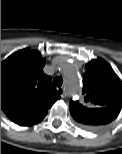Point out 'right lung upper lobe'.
Segmentation results:
<instances>
[{"mask_svg":"<svg viewBox=\"0 0 122 154\" xmlns=\"http://www.w3.org/2000/svg\"><path fill=\"white\" fill-rule=\"evenodd\" d=\"M45 59L37 50H19L1 62V109L16 124L39 123L60 99L51 77L43 73Z\"/></svg>","mask_w":122,"mask_h":154,"instance_id":"obj_1","label":"right lung upper lobe"}]
</instances>
